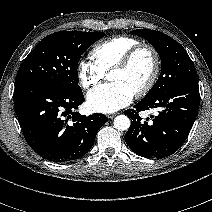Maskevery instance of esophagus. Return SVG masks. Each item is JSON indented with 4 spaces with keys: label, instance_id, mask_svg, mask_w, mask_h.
Masks as SVG:
<instances>
[{
    "label": "esophagus",
    "instance_id": "obj_1",
    "mask_svg": "<svg viewBox=\"0 0 212 212\" xmlns=\"http://www.w3.org/2000/svg\"><path fill=\"white\" fill-rule=\"evenodd\" d=\"M115 116H116V114H108V115H107V118L113 119Z\"/></svg>",
    "mask_w": 212,
    "mask_h": 212
}]
</instances>
